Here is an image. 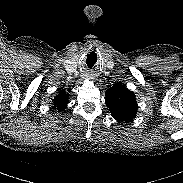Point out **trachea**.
Segmentation results:
<instances>
[{"instance_id": "3493384b", "label": "trachea", "mask_w": 183, "mask_h": 183, "mask_svg": "<svg viewBox=\"0 0 183 183\" xmlns=\"http://www.w3.org/2000/svg\"><path fill=\"white\" fill-rule=\"evenodd\" d=\"M86 62H87V66L89 68H92L94 66V64L97 62V56H96V54L95 53H93V54L90 53L88 55V58H87Z\"/></svg>"}]
</instances>
